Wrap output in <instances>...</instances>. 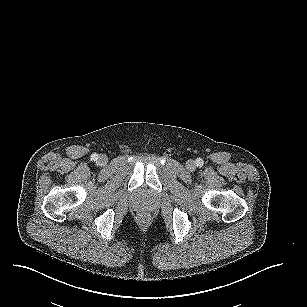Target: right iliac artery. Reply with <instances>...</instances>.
Segmentation results:
<instances>
[{"label":"right iliac artery","instance_id":"1","mask_svg":"<svg viewBox=\"0 0 307 307\" xmlns=\"http://www.w3.org/2000/svg\"><path fill=\"white\" fill-rule=\"evenodd\" d=\"M91 160L97 161L98 160V155L97 154H92L91 155Z\"/></svg>","mask_w":307,"mask_h":307}]
</instances>
